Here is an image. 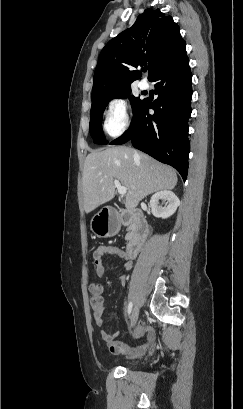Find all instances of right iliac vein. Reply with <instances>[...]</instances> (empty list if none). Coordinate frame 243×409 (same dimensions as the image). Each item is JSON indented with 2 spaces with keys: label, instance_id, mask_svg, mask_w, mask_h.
<instances>
[{
  "label": "right iliac vein",
  "instance_id": "1",
  "mask_svg": "<svg viewBox=\"0 0 243 409\" xmlns=\"http://www.w3.org/2000/svg\"><path fill=\"white\" fill-rule=\"evenodd\" d=\"M138 316H139V307L136 305V306H134V308L132 310V314H131V322H130V326H129L130 330L135 326V324H136V322L138 320Z\"/></svg>",
  "mask_w": 243,
  "mask_h": 409
}]
</instances>
